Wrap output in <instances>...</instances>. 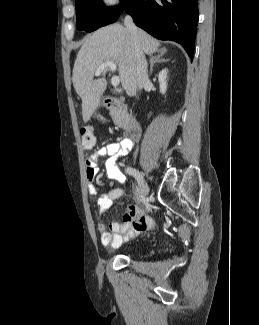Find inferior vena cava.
<instances>
[{
	"label": "inferior vena cava",
	"instance_id": "inferior-vena-cava-1",
	"mask_svg": "<svg viewBox=\"0 0 259 325\" xmlns=\"http://www.w3.org/2000/svg\"><path fill=\"white\" fill-rule=\"evenodd\" d=\"M124 25L130 32L133 40V65L137 77V87L138 89H142L148 82L147 61L139 42L138 29L131 16L127 15L125 17Z\"/></svg>",
	"mask_w": 259,
	"mask_h": 325
}]
</instances>
